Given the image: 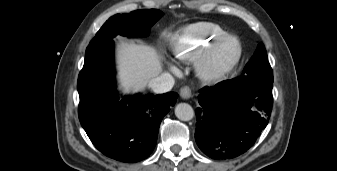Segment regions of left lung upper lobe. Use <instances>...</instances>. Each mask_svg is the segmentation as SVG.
Masks as SVG:
<instances>
[{
    "mask_svg": "<svg viewBox=\"0 0 337 171\" xmlns=\"http://www.w3.org/2000/svg\"><path fill=\"white\" fill-rule=\"evenodd\" d=\"M241 75L273 77L271 66L268 62L265 47L262 43L258 44L257 50L246 64Z\"/></svg>",
    "mask_w": 337,
    "mask_h": 171,
    "instance_id": "5c2ea615",
    "label": "left lung upper lobe"
}]
</instances>
